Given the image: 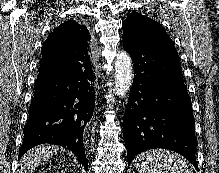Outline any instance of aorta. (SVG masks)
I'll return each instance as SVG.
<instances>
[{
	"mask_svg": "<svg viewBox=\"0 0 219 173\" xmlns=\"http://www.w3.org/2000/svg\"><path fill=\"white\" fill-rule=\"evenodd\" d=\"M133 66L130 55L121 51L115 60V94L119 97L125 96L133 82Z\"/></svg>",
	"mask_w": 219,
	"mask_h": 173,
	"instance_id": "762f6f07",
	"label": "aorta"
}]
</instances>
